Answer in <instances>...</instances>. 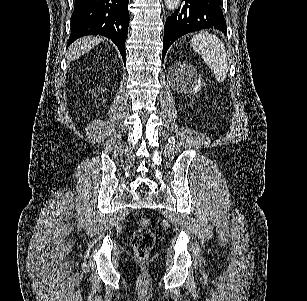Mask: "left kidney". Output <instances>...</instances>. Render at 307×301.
<instances>
[{
	"instance_id": "5707ae66",
	"label": "left kidney",
	"mask_w": 307,
	"mask_h": 301,
	"mask_svg": "<svg viewBox=\"0 0 307 301\" xmlns=\"http://www.w3.org/2000/svg\"><path fill=\"white\" fill-rule=\"evenodd\" d=\"M174 86L177 90L184 92H198L201 90V76L198 74L197 68L190 62H181V64H173Z\"/></svg>"
}]
</instances>
